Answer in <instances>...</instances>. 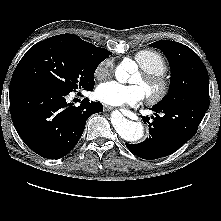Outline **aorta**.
Segmentation results:
<instances>
[{"instance_id":"aorta-1","label":"aorta","mask_w":221,"mask_h":221,"mask_svg":"<svg viewBox=\"0 0 221 221\" xmlns=\"http://www.w3.org/2000/svg\"><path fill=\"white\" fill-rule=\"evenodd\" d=\"M136 69L137 66L133 61H131V67H128L125 63L119 65L115 71L117 81L126 83L130 74L134 73ZM111 123L118 135L126 141L134 142L144 137L145 128L143 124L126 119L119 111L112 114Z\"/></svg>"}]
</instances>
